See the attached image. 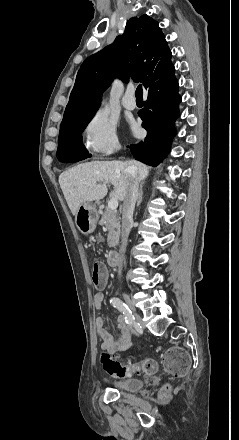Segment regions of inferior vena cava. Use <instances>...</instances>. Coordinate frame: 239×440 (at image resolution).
Here are the masks:
<instances>
[{
    "instance_id": "inferior-vena-cava-1",
    "label": "inferior vena cava",
    "mask_w": 239,
    "mask_h": 440,
    "mask_svg": "<svg viewBox=\"0 0 239 440\" xmlns=\"http://www.w3.org/2000/svg\"><path fill=\"white\" fill-rule=\"evenodd\" d=\"M126 172L129 176V180L127 182V188H126L127 194L124 198L123 208H122V230H121V246L119 250L120 262L118 268V276H121V270H122L121 264H122L123 256L126 252L127 238L129 236L130 226L133 220L134 208H135V204L138 196V188H139V180L137 178L135 168H133V166H130V168H127Z\"/></svg>"
}]
</instances>
